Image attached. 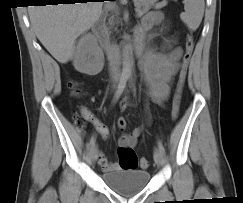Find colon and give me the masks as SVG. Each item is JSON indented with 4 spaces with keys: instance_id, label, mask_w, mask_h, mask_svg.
<instances>
[{
    "instance_id": "5ec220e1",
    "label": "colon",
    "mask_w": 243,
    "mask_h": 203,
    "mask_svg": "<svg viewBox=\"0 0 243 203\" xmlns=\"http://www.w3.org/2000/svg\"><path fill=\"white\" fill-rule=\"evenodd\" d=\"M194 50V39L191 34L187 35L186 43H185V53L183 55L182 65L179 71L178 80H177V89L176 94L173 101L172 106V117L176 119L179 115L180 111V100L181 94L185 85V81L188 75V66ZM71 87L75 92H79L78 84L71 83ZM87 118V113L83 110L81 114L77 117L76 123L79 127H83L85 124V120ZM118 159L119 166L123 170H135L140 165L141 168L148 167V161L143 158L138 161L135 150L130 146H120L118 148Z\"/></svg>"
}]
</instances>
